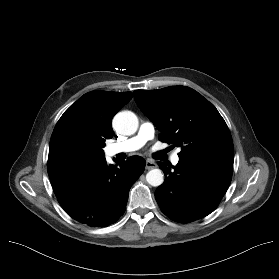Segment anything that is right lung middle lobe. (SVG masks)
<instances>
[{"mask_svg": "<svg viewBox=\"0 0 279 279\" xmlns=\"http://www.w3.org/2000/svg\"><path fill=\"white\" fill-rule=\"evenodd\" d=\"M92 152L80 142H68L57 152L52 169L63 171L88 165L93 162Z\"/></svg>", "mask_w": 279, "mask_h": 279, "instance_id": "right-lung-middle-lobe-1", "label": "right lung middle lobe"}]
</instances>
